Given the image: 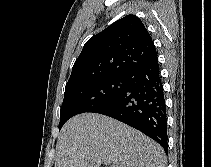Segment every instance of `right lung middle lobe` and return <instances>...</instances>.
Wrapping results in <instances>:
<instances>
[{"mask_svg": "<svg viewBox=\"0 0 211 167\" xmlns=\"http://www.w3.org/2000/svg\"><path fill=\"white\" fill-rule=\"evenodd\" d=\"M127 87L125 76H107L65 89L60 110V128L71 117L95 112L121 94Z\"/></svg>", "mask_w": 211, "mask_h": 167, "instance_id": "right-lung-middle-lobe-1", "label": "right lung middle lobe"}]
</instances>
